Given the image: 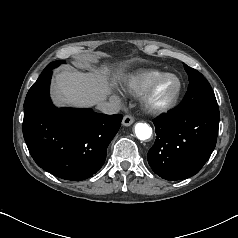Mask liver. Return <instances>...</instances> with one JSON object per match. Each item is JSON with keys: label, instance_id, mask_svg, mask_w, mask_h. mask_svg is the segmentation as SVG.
Segmentation results:
<instances>
[{"label": "liver", "instance_id": "obj_1", "mask_svg": "<svg viewBox=\"0 0 238 238\" xmlns=\"http://www.w3.org/2000/svg\"><path fill=\"white\" fill-rule=\"evenodd\" d=\"M105 71L90 68L84 73L68 68L55 76L53 98L58 104L88 107L98 105L111 94Z\"/></svg>", "mask_w": 238, "mask_h": 238}]
</instances>
